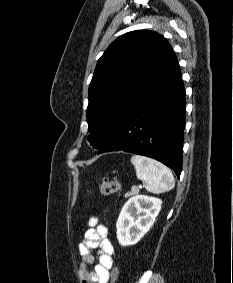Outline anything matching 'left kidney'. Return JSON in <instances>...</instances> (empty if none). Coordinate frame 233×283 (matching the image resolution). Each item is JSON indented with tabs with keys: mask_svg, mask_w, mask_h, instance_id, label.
Instances as JSON below:
<instances>
[{
	"mask_svg": "<svg viewBox=\"0 0 233 283\" xmlns=\"http://www.w3.org/2000/svg\"><path fill=\"white\" fill-rule=\"evenodd\" d=\"M161 204L160 199L145 195L130 198L123 206L116 223L119 244L130 246L138 243L153 226Z\"/></svg>",
	"mask_w": 233,
	"mask_h": 283,
	"instance_id": "5707ae66",
	"label": "left kidney"
}]
</instances>
